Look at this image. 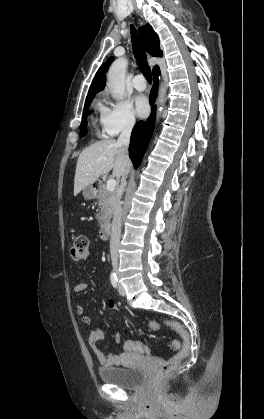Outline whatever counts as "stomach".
Wrapping results in <instances>:
<instances>
[{
    "label": "stomach",
    "mask_w": 264,
    "mask_h": 419,
    "mask_svg": "<svg viewBox=\"0 0 264 419\" xmlns=\"http://www.w3.org/2000/svg\"><path fill=\"white\" fill-rule=\"evenodd\" d=\"M82 194H83V197L85 198V200H91V199L96 197L97 191H96V189L93 185H90V186H87L86 188H84Z\"/></svg>",
    "instance_id": "stomach-1"
}]
</instances>
